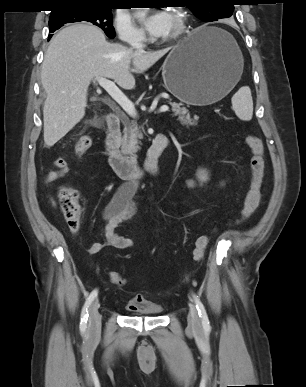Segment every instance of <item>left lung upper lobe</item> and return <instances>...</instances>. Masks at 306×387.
I'll return each instance as SVG.
<instances>
[{
	"instance_id": "left-lung-upper-lobe-1",
	"label": "left lung upper lobe",
	"mask_w": 306,
	"mask_h": 387,
	"mask_svg": "<svg viewBox=\"0 0 306 387\" xmlns=\"http://www.w3.org/2000/svg\"><path fill=\"white\" fill-rule=\"evenodd\" d=\"M233 0H186V6L195 16L205 22L231 17L234 11Z\"/></svg>"
}]
</instances>
